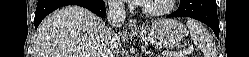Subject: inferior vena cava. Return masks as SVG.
I'll use <instances>...</instances> for the list:
<instances>
[{"label":"inferior vena cava","instance_id":"602c4592","mask_svg":"<svg viewBox=\"0 0 249 57\" xmlns=\"http://www.w3.org/2000/svg\"><path fill=\"white\" fill-rule=\"evenodd\" d=\"M107 20L109 24L112 27L120 28L125 21L126 18V12L124 10V6L121 0H110L108 2V10L106 13ZM118 36L114 34V32L111 29H107L104 32L103 35V41L105 47L109 51H117L118 48V42H117Z\"/></svg>","mask_w":249,"mask_h":57}]
</instances>
